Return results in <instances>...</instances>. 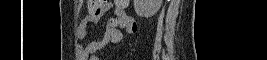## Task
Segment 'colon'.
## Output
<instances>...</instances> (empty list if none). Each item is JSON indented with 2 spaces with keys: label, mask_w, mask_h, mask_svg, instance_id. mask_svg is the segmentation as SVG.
I'll return each mask as SVG.
<instances>
[{
  "label": "colon",
  "mask_w": 267,
  "mask_h": 60,
  "mask_svg": "<svg viewBox=\"0 0 267 60\" xmlns=\"http://www.w3.org/2000/svg\"><path fill=\"white\" fill-rule=\"evenodd\" d=\"M119 6H123L127 4L129 1L128 0H117L115 1ZM106 1L103 0H88V14L89 15H98L101 13L104 9V4ZM118 27H125L127 24L125 22H118L116 23ZM135 29V24L132 26Z\"/></svg>",
  "instance_id": "obj_1"
}]
</instances>
